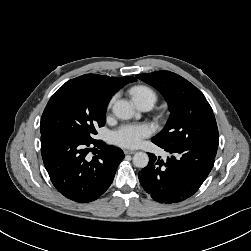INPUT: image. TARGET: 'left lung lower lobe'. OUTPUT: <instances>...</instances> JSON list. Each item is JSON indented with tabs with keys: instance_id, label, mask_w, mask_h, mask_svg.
Here are the masks:
<instances>
[{
	"instance_id": "left-lung-lower-lobe-1",
	"label": "left lung lower lobe",
	"mask_w": 251,
	"mask_h": 251,
	"mask_svg": "<svg viewBox=\"0 0 251 251\" xmlns=\"http://www.w3.org/2000/svg\"><path fill=\"white\" fill-rule=\"evenodd\" d=\"M154 144L171 156L163 161L149 154V164L139 172V181L146 192L160 203H178L192 196L207 178L217 153L218 140L195 139L172 146Z\"/></svg>"
}]
</instances>
